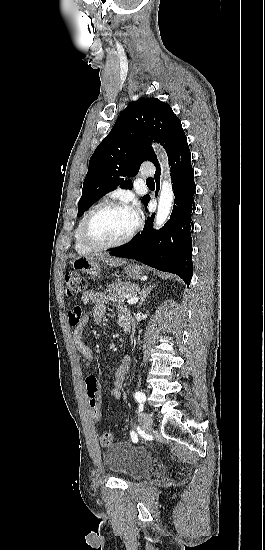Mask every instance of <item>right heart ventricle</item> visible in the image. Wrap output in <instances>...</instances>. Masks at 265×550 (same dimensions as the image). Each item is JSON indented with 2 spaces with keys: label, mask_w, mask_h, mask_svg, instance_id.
<instances>
[{
  "label": "right heart ventricle",
  "mask_w": 265,
  "mask_h": 550,
  "mask_svg": "<svg viewBox=\"0 0 265 550\" xmlns=\"http://www.w3.org/2000/svg\"><path fill=\"white\" fill-rule=\"evenodd\" d=\"M102 203L101 201L96 203L95 205H93L91 208H89L85 214L83 215V217L80 219L76 229H75V233H74V243H75V250L80 253V254H86V253H89L91 252L93 249L86 246L82 239H81V236H80V226H81V223H82V220L84 219V217L86 216V214L91 210L93 209L94 207H96L98 204Z\"/></svg>",
  "instance_id": "obj_1"
}]
</instances>
